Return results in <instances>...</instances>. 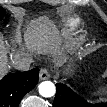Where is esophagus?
<instances>
[{
	"mask_svg": "<svg viewBox=\"0 0 107 107\" xmlns=\"http://www.w3.org/2000/svg\"><path fill=\"white\" fill-rule=\"evenodd\" d=\"M49 78H50L49 72L46 69H41L40 70V79L41 80H46V79H49Z\"/></svg>",
	"mask_w": 107,
	"mask_h": 107,
	"instance_id": "obj_1",
	"label": "esophagus"
}]
</instances>
